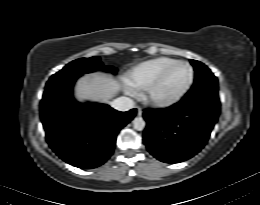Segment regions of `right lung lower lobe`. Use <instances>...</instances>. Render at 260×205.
<instances>
[{
    "label": "right lung lower lobe",
    "instance_id": "98d812e1",
    "mask_svg": "<svg viewBox=\"0 0 260 205\" xmlns=\"http://www.w3.org/2000/svg\"><path fill=\"white\" fill-rule=\"evenodd\" d=\"M82 74L53 75L41 100L46 140L65 162L82 169L103 164L113 153L116 136L136 109L116 111L106 104H80L72 87Z\"/></svg>",
    "mask_w": 260,
    "mask_h": 205
}]
</instances>
